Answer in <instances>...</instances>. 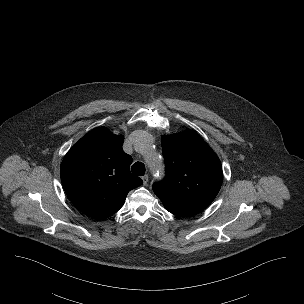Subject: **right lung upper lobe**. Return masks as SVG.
Returning a JSON list of instances; mask_svg holds the SVG:
<instances>
[{
  "label": "right lung upper lobe",
  "instance_id": "right-lung-upper-lobe-1",
  "mask_svg": "<svg viewBox=\"0 0 304 304\" xmlns=\"http://www.w3.org/2000/svg\"><path fill=\"white\" fill-rule=\"evenodd\" d=\"M122 144L121 136L97 128L81 138L62 161L60 175L67 196L94 219L113 215L128 192L143 183L130 173L132 158Z\"/></svg>",
  "mask_w": 304,
  "mask_h": 304
}]
</instances>
